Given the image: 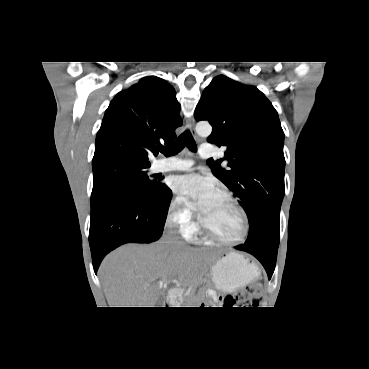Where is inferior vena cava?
<instances>
[{
    "instance_id": "obj_1",
    "label": "inferior vena cava",
    "mask_w": 369,
    "mask_h": 369,
    "mask_svg": "<svg viewBox=\"0 0 369 369\" xmlns=\"http://www.w3.org/2000/svg\"><path fill=\"white\" fill-rule=\"evenodd\" d=\"M178 222L175 218H167L162 239L167 243H182L178 236Z\"/></svg>"
}]
</instances>
